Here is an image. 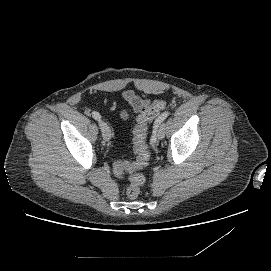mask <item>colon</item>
Listing matches in <instances>:
<instances>
[{"label":"colon","mask_w":271,"mask_h":271,"mask_svg":"<svg viewBox=\"0 0 271 271\" xmlns=\"http://www.w3.org/2000/svg\"><path fill=\"white\" fill-rule=\"evenodd\" d=\"M165 107L166 102L162 99H158L140 112L137 125L134 129L133 140L136 159L133 162L118 161L113 165V172L117 177L128 178L129 185L126 193L130 199H135L139 196L141 186L144 183V176L140 173L133 172L146 167L150 158L147 145L149 123L155 119Z\"/></svg>","instance_id":"5ec220e1"}]
</instances>
